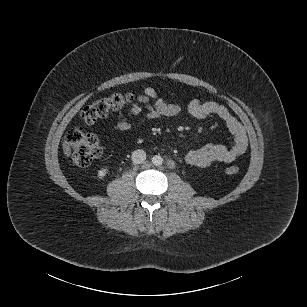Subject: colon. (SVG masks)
<instances>
[{
  "label": "colon",
  "instance_id": "obj_1",
  "mask_svg": "<svg viewBox=\"0 0 307 307\" xmlns=\"http://www.w3.org/2000/svg\"><path fill=\"white\" fill-rule=\"evenodd\" d=\"M145 100L146 97L144 96H135L131 93H116L109 97L98 99L86 106L82 110L81 117L86 124H92L110 112L118 111L126 105L143 103ZM66 141L71 146L73 160L79 166L89 165L102 151L99 138L80 126L68 131ZM226 173L235 175L239 173V168L235 165L228 166Z\"/></svg>",
  "mask_w": 307,
  "mask_h": 307
}]
</instances>
